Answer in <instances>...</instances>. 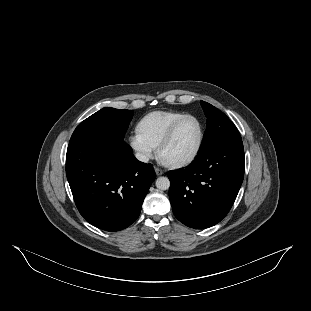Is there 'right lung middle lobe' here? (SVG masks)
I'll list each match as a JSON object with an SVG mask.
<instances>
[{
    "mask_svg": "<svg viewBox=\"0 0 311 311\" xmlns=\"http://www.w3.org/2000/svg\"><path fill=\"white\" fill-rule=\"evenodd\" d=\"M131 110L103 108L82 121L74 130L71 139L90 132H108L124 138L132 120Z\"/></svg>",
    "mask_w": 311,
    "mask_h": 311,
    "instance_id": "right-lung-middle-lobe-1",
    "label": "right lung middle lobe"
}]
</instances>
